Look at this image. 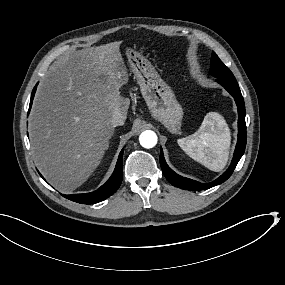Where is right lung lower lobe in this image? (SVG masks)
<instances>
[{"label":"right lung lower lobe","mask_w":285,"mask_h":285,"mask_svg":"<svg viewBox=\"0 0 285 285\" xmlns=\"http://www.w3.org/2000/svg\"><path fill=\"white\" fill-rule=\"evenodd\" d=\"M37 85L38 83L34 87L32 94H31L29 111L32 105V101L34 98ZM29 111H28V114H29ZM122 160H123V149L119 154L118 161H117V164H116V167H115V170L112 176L109 178V180L104 185H102L96 191L85 193V194H73V195H63V196L69 200H72L74 202L81 203V204H94V203L100 202L110 197L112 194H114L117 191V189L119 188L122 182V178H123ZM40 176L42 177L41 174Z\"/></svg>","instance_id":"right-lung-lower-lobe-1"}]
</instances>
